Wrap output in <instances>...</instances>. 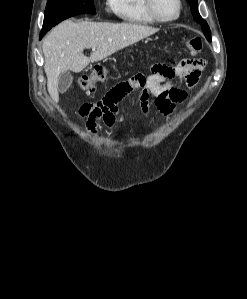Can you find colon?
<instances>
[{"label":"colon","mask_w":247,"mask_h":299,"mask_svg":"<svg viewBox=\"0 0 247 299\" xmlns=\"http://www.w3.org/2000/svg\"><path fill=\"white\" fill-rule=\"evenodd\" d=\"M186 46L191 54H198L203 48V43L201 38L193 37L187 41ZM107 74V69L105 67L98 66L93 72L84 75L79 79V86L85 92L92 93L95 90L96 84L105 80Z\"/></svg>","instance_id":"5ec220e1"}]
</instances>
